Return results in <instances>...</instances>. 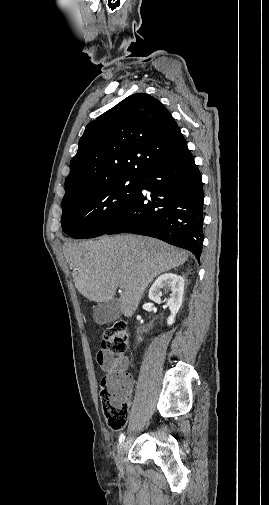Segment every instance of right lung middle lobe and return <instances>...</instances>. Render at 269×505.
<instances>
[{
  "label": "right lung middle lobe",
  "instance_id": "obj_1",
  "mask_svg": "<svg viewBox=\"0 0 269 505\" xmlns=\"http://www.w3.org/2000/svg\"><path fill=\"white\" fill-rule=\"evenodd\" d=\"M139 191L138 179L97 185L62 201V229L73 238L105 234L125 213Z\"/></svg>",
  "mask_w": 269,
  "mask_h": 505
}]
</instances>
